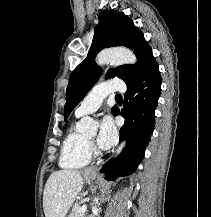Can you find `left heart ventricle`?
Listing matches in <instances>:
<instances>
[{
    "label": "left heart ventricle",
    "instance_id": "left-heart-ventricle-1",
    "mask_svg": "<svg viewBox=\"0 0 211 217\" xmlns=\"http://www.w3.org/2000/svg\"><path fill=\"white\" fill-rule=\"evenodd\" d=\"M89 139L93 140L94 139V135L89 136Z\"/></svg>",
    "mask_w": 211,
    "mask_h": 217
}]
</instances>
